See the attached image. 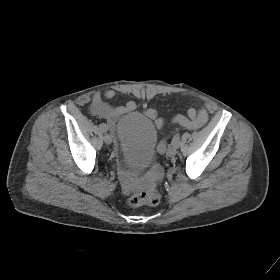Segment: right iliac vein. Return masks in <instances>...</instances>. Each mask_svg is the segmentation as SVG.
<instances>
[{
    "mask_svg": "<svg viewBox=\"0 0 280 280\" xmlns=\"http://www.w3.org/2000/svg\"><path fill=\"white\" fill-rule=\"evenodd\" d=\"M104 141H105L106 144H111L112 141H113V138H112L111 135L106 134V135L104 136Z\"/></svg>",
    "mask_w": 280,
    "mask_h": 280,
    "instance_id": "obj_1",
    "label": "right iliac vein"
}]
</instances>
